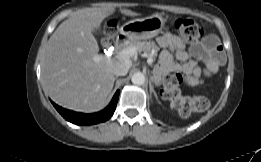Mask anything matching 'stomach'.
I'll use <instances>...</instances> for the list:
<instances>
[{
    "instance_id": "0dacf381",
    "label": "stomach",
    "mask_w": 261,
    "mask_h": 162,
    "mask_svg": "<svg viewBox=\"0 0 261 162\" xmlns=\"http://www.w3.org/2000/svg\"><path fill=\"white\" fill-rule=\"evenodd\" d=\"M165 25L160 15L128 21L120 28V33L131 41L150 39L157 36Z\"/></svg>"
}]
</instances>
